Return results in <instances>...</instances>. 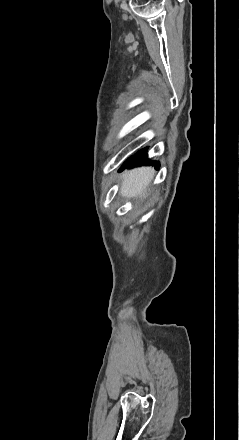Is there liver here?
<instances>
[{
  "label": "liver",
  "mask_w": 239,
  "mask_h": 440,
  "mask_svg": "<svg viewBox=\"0 0 239 440\" xmlns=\"http://www.w3.org/2000/svg\"><path fill=\"white\" fill-rule=\"evenodd\" d=\"M153 168H136L131 172H123L120 196L123 198H147L148 188L154 178Z\"/></svg>",
  "instance_id": "1"
}]
</instances>
